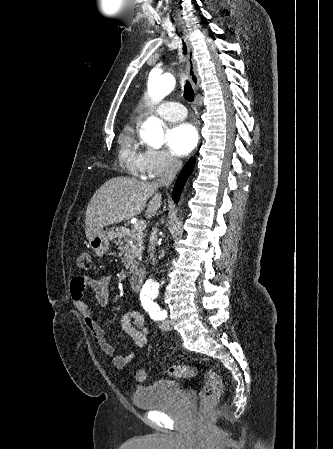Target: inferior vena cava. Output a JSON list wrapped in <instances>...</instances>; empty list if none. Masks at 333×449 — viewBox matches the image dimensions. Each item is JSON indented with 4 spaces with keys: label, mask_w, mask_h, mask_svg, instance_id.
<instances>
[{
    "label": "inferior vena cava",
    "mask_w": 333,
    "mask_h": 449,
    "mask_svg": "<svg viewBox=\"0 0 333 449\" xmlns=\"http://www.w3.org/2000/svg\"><path fill=\"white\" fill-rule=\"evenodd\" d=\"M182 167V161L178 158L171 157L169 161V165L162 177L158 180L157 184L162 186H169L172 181L175 179L178 171ZM157 241V229L154 230L152 238L150 239V246H149V256L150 260L152 262V265L156 264V258H155V246Z\"/></svg>",
    "instance_id": "obj_1"
}]
</instances>
